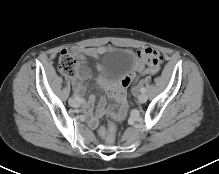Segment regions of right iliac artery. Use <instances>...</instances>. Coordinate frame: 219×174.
I'll use <instances>...</instances> for the list:
<instances>
[{"mask_svg": "<svg viewBox=\"0 0 219 174\" xmlns=\"http://www.w3.org/2000/svg\"><path fill=\"white\" fill-rule=\"evenodd\" d=\"M73 96H74V98H75L79 103H83V102H85L84 99L79 98V97L76 96L75 94H74Z\"/></svg>", "mask_w": 219, "mask_h": 174, "instance_id": "obj_1", "label": "right iliac artery"}]
</instances>
